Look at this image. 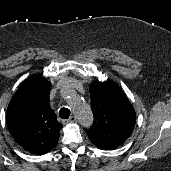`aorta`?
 <instances>
[{
    "label": "aorta",
    "mask_w": 171,
    "mask_h": 171,
    "mask_svg": "<svg viewBox=\"0 0 171 171\" xmlns=\"http://www.w3.org/2000/svg\"><path fill=\"white\" fill-rule=\"evenodd\" d=\"M63 96L70 102L79 123L84 127H89L93 122V115L89 105L80 98L74 96L71 92L63 91Z\"/></svg>",
    "instance_id": "obj_1"
}]
</instances>
